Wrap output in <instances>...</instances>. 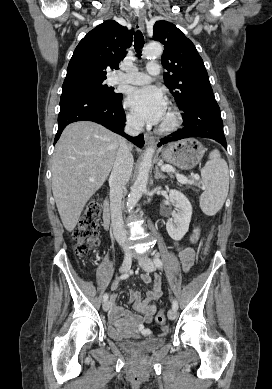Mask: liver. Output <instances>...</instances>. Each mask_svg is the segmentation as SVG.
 I'll list each match as a JSON object with an SVG mask.
<instances>
[{
  "instance_id": "1",
  "label": "liver",
  "mask_w": 272,
  "mask_h": 389,
  "mask_svg": "<svg viewBox=\"0 0 272 389\" xmlns=\"http://www.w3.org/2000/svg\"><path fill=\"white\" fill-rule=\"evenodd\" d=\"M119 145L118 135L89 121L72 123L62 132L52 157V191L67 231L76 227L84 206L106 181Z\"/></svg>"
}]
</instances>
